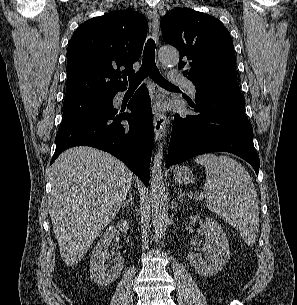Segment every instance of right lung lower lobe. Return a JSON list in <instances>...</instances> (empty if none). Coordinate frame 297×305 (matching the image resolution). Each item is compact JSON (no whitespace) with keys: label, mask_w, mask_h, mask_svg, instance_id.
I'll use <instances>...</instances> for the list:
<instances>
[{"label":"right lung lower lobe","mask_w":297,"mask_h":305,"mask_svg":"<svg viewBox=\"0 0 297 305\" xmlns=\"http://www.w3.org/2000/svg\"><path fill=\"white\" fill-rule=\"evenodd\" d=\"M150 102L142 85L127 105L130 113L124 112L126 107L114 108L112 102L111 107L93 110L62 125L50 164L68 148L91 146L123 161L148 186L154 138Z\"/></svg>","instance_id":"1"}]
</instances>
